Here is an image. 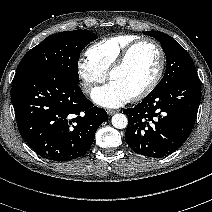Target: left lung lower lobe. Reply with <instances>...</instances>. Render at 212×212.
Listing matches in <instances>:
<instances>
[{
    "mask_svg": "<svg viewBox=\"0 0 212 212\" xmlns=\"http://www.w3.org/2000/svg\"><path fill=\"white\" fill-rule=\"evenodd\" d=\"M201 100L197 74L153 90L134 108L125 109V139L138 154L161 158L176 151L190 135Z\"/></svg>",
    "mask_w": 212,
    "mask_h": 212,
    "instance_id": "left-lung-lower-lobe-1",
    "label": "left lung lower lobe"
}]
</instances>
